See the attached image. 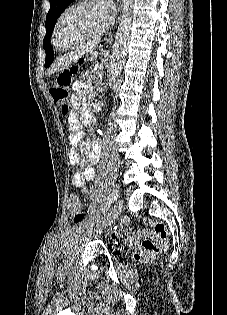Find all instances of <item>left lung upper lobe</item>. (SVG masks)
<instances>
[{
	"mask_svg": "<svg viewBox=\"0 0 227 315\" xmlns=\"http://www.w3.org/2000/svg\"><path fill=\"white\" fill-rule=\"evenodd\" d=\"M73 1L74 0H49L50 10L46 17V22H45L46 35L43 40V47L46 52L45 63L47 62V52L49 49H52L50 45V37L53 32L57 18Z\"/></svg>",
	"mask_w": 227,
	"mask_h": 315,
	"instance_id": "5c2ea615",
	"label": "left lung upper lobe"
}]
</instances>
